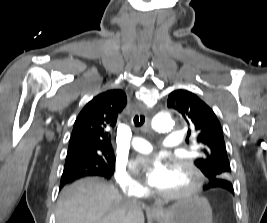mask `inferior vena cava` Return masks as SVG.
<instances>
[{
  "label": "inferior vena cava",
  "mask_w": 267,
  "mask_h": 223,
  "mask_svg": "<svg viewBox=\"0 0 267 223\" xmlns=\"http://www.w3.org/2000/svg\"><path fill=\"white\" fill-rule=\"evenodd\" d=\"M128 201L131 202V203H136V199H134V198L129 199Z\"/></svg>",
  "instance_id": "1"
}]
</instances>
